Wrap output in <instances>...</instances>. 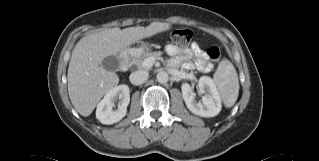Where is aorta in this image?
Listing matches in <instances>:
<instances>
[{
  "instance_id": "obj_1",
  "label": "aorta",
  "mask_w": 319,
  "mask_h": 161,
  "mask_svg": "<svg viewBox=\"0 0 319 161\" xmlns=\"http://www.w3.org/2000/svg\"><path fill=\"white\" fill-rule=\"evenodd\" d=\"M169 80V75L165 71H160L157 74V81L161 84L167 83Z\"/></svg>"
}]
</instances>
